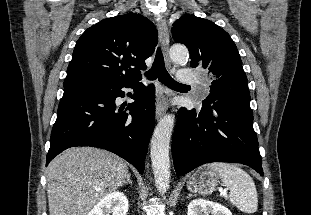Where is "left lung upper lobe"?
Wrapping results in <instances>:
<instances>
[{"mask_svg":"<svg viewBox=\"0 0 311 215\" xmlns=\"http://www.w3.org/2000/svg\"><path fill=\"white\" fill-rule=\"evenodd\" d=\"M175 42L187 46L190 66L206 69L212 79L204 101H235L250 104L248 80L237 47L229 34L214 22L185 15L173 24Z\"/></svg>","mask_w":311,"mask_h":215,"instance_id":"1","label":"left lung upper lobe"}]
</instances>
